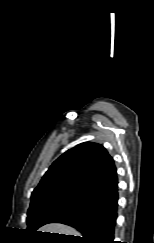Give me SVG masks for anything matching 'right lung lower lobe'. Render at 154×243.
Listing matches in <instances>:
<instances>
[{
	"mask_svg": "<svg viewBox=\"0 0 154 243\" xmlns=\"http://www.w3.org/2000/svg\"><path fill=\"white\" fill-rule=\"evenodd\" d=\"M117 207L118 185H115L78 207L53 215L45 224L57 222L76 228L83 234L76 239L78 243H119L113 241Z\"/></svg>",
	"mask_w": 154,
	"mask_h": 243,
	"instance_id": "obj_1",
	"label": "right lung lower lobe"
}]
</instances>
